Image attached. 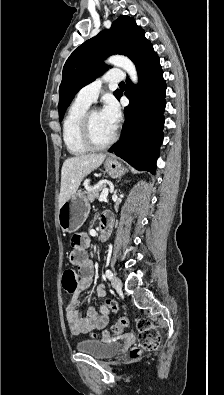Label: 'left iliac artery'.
Returning a JSON list of instances; mask_svg holds the SVG:
<instances>
[{"label":"left iliac artery","mask_w":224,"mask_h":395,"mask_svg":"<svg viewBox=\"0 0 224 395\" xmlns=\"http://www.w3.org/2000/svg\"><path fill=\"white\" fill-rule=\"evenodd\" d=\"M105 276H106L108 279H112V278H113V273H112V271L109 270V269H107L106 272H105Z\"/></svg>","instance_id":"obj_1"}]
</instances>
